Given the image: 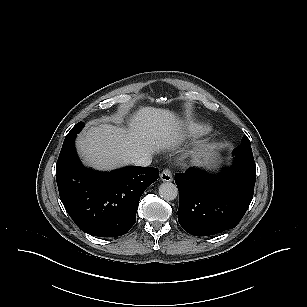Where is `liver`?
<instances>
[{
	"mask_svg": "<svg viewBox=\"0 0 307 307\" xmlns=\"http://www.w3.org/2000/svg\"><path fill=\"white\" fill-rule=\"evenodd\" d=\"M182 121L173 112L141 107L125 126L101 123L79 135L76 145L84 162L97 170H113L172 149L182 140Z\"/></svg>",
	"mask_w": 307,
	"mask_h": 307,
	"instance_id": "1",
	"label": "liver"
}]
</instances>
